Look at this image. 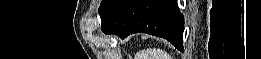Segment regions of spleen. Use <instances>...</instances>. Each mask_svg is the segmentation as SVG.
<instances>
[{
    "label": "spleen",
    "instance_id": "1",
    "mask_svg": "<svg viewBox=\"0 0 261 59\" xmlns=\"http://www.w3.org/2000/svg\"><path fill=\"white\" fill-rule=\"evenodd\" d=\"M146 58L145 59H172V57L167 54L162 49H148L145 51L144 55Z\"/></svg>",
    "mask_w": 261,
    "mask_h": 59
}]
</instances>
